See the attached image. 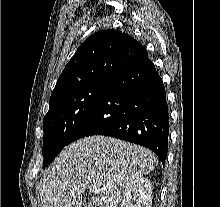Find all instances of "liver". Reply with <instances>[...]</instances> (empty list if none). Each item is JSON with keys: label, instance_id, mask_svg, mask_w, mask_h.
Segmentation results:
<instances>
[{"label": "liver", "instance_id": "liver-1", "mask_svg": "<svg viewBox=\"0 0 220 207\" xmlns=\"http://www.w3.org/2000/svg\"><path fill=\"white\" fill-rule=\"evenodd\" d=\"M150 150L106 136H88L65 147L40 181L41 207H81L96 187L91 207H118L128 187L157 166Z\"/></svg>", "mask_w": 220, "mask_h": 207}]
</instances>
